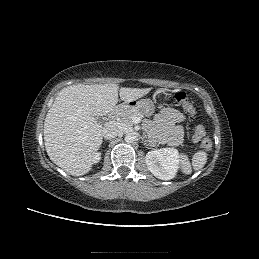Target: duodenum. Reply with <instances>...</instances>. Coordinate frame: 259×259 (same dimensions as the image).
I'll list each match as a JSON object with an SVG mask.
<instances>
[{"mask_svg":"<svg viewBox=\"0 0 259 259\" xmlns=\"http://www.w3.org/2000/svg\"><path fill=\"white\" fill-rule=\"evenodd\" d=\"M121 108H122V105H118V106H116V107L109 113V115H108V121H109V122H112V121L115 119V117H116L118 111H119Z\"/></svg>","mask_w":259,"mask_h":259,"instance_id":"1","label":"duodenum"}]
</instances>
